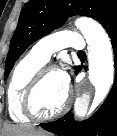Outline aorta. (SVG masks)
<instances>
[{"instance_id":"aorta-1","label":"aorta","mask_w":117,"mask_h":136,"mask_svg":"<svg viewBox=\"0 0 117 136\" xmlns=\"http://www.w3.org/2000/svg\"><path fill=\"white\" fill-rule=\"evenodd\" d=\"M75 25L83 34L88 44L89 81L95 88L93 105H98L109 93L114 80V60L110 38L103 27L96 21L82 17ZM91 93L84 91L76 98L74 113L78 117L88 111Z\"/></svg>"}]
</instances>
